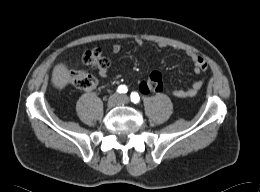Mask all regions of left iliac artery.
I'll return each mask as SVG.
<instances>
[{
    "label": "left iliac artery",
    "instance_id": "left-iliac-artery-1",
    "mask_svg": "<svg viewBox=\"0 0 260 192\" xmlns=\"http://www.w3.org/2000/svg\"><path fill=\"white\" fill-rule=\"evenodd\" d=\"M131 101L134 103V104H138L140 102V97L138 95L137 92H132L131 95Z\"/></svg>",
    "mask_w": 260,
    "mask_h": 192
}]
</instances>
